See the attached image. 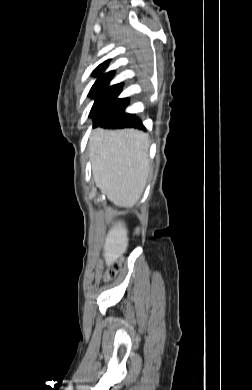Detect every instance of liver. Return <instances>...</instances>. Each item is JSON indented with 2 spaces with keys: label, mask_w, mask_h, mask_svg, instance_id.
<instances>
[{
  "label": "liver",
  "mask_w": 252,
  "mask_h": 390,
  "mask_svg": "<svg viewBox=\"0 0 252 390\" xmlns=\"http://www.w3.org/2000/svg\"><path fill=\"white\" fill-rule=\"evenodd\" d=\"M148 136L135 129L92 132L89 143L96 186L117 206L135 205L144 191L150 170ZM128 231L117 221L109 230L103 250L107 264L126 250Z\"/></svg>",
  "instance_id": "obj_1"
}]
</instances>
